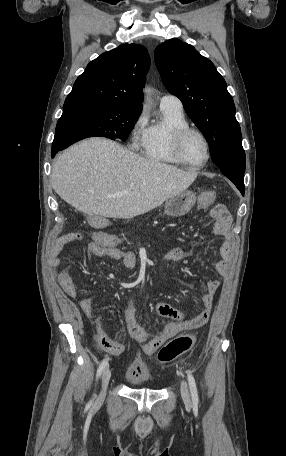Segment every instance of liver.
Returning <instances> with one entry per match:
<instances>
[{
  "label": "liver",
  "instance_id": "obj_1",
  "mask_svg": "<svg viewBox=\"0 0 286 456\" xmlns=\"http://www.w3.org/2000/svg\"><path fill=\"white\" fill-rule=\"evenodd\" d=\"M196 177L194 170L141 157L108 139L90 138L58 157L51 183L78 211L129 219L183 192Z\"/></svg>",
  "mask_w": 286,
  "mask_h": 456
}]
</instances>
